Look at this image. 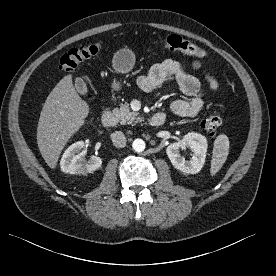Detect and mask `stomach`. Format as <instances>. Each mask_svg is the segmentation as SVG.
Segmentation results:
<instances>
[{"label":"stomach","mask_w":276,"mask_h":276,"mask_svg":"<svg viewBox=\"0 0 276 276\" xmlns=\"http://www.w3.org/2000/svg\"><path fill=\"white\" fill-rule=\"evenodd\" d=\"M135 64V56L131 50L124 47L119 49L112 60L113 68L120 73L130 72ZM112 88L116 91L120 90V83L114 82Z\"/></svg>","instance_id":"stomach-1"}]
</instances>
